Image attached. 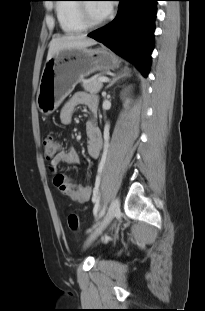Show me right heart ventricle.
Returning a JSON list of instances; mask_svg holds the SVG:
<instances>
[{
    "mask_svg": "<svg viewBox=\"0 0 205 311\" xmlns=\"http://www.w3.org/2000/svg\"><path fill=\"white\" fill-rule=\"evenodd\" d=\"M76 0H60V2H73ZM78 4L59 3L56 5V16L60 28L66 34H77L85 30L78 15Z\"/></svg>",
    "mask_w": 205,
    "mask_h": 311,
    "instance_id": "right-heart-ventricle-1",
    "label": "right heart ventricle"
}]
</instances>
